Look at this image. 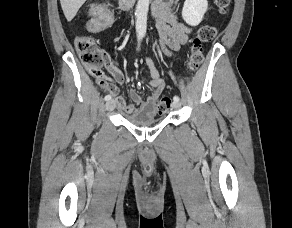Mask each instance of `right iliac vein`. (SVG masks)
Instances as JSON below:
<instances>
[{
    "mask_svg": "<svg viewBox=\"0 0 292 228\" xmlns=\"http://www.w3.org/2000/svg\"><path fill=\"white\" fill-rule=\"evenodd\" d=\"M115 107V101L114 100H109L107 103H106V110L108 111H111L113 110Z\"/></svg>",
    "mask_w": 292,
    "mask_h": 228,
    "instance_id": "63e3f726",
    "label": "right iliac vein"
}]
</instances>
